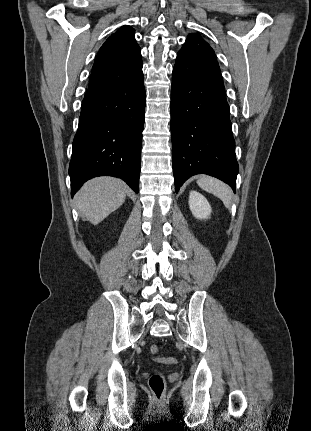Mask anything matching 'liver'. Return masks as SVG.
Here are the masks:
<instances>
[{
    "mask_svg": "<svg viewBox=\"0 0 311 431\" xmlns=\"http://www.w3.org/2000/svg\"><path fill=\"white\" fill-rule=\"evenodd\" d=\"M127 192L128 188L122 180L94 178L82 186L76 202L81 214L97 225L124 204Z\"/></svg>",
    "mask_w": 311,
    "mask_h": 431,
    "instance_id": "liver-1",
    "label": "liver"
}]
</instances>
